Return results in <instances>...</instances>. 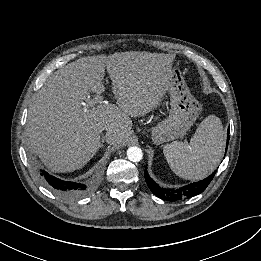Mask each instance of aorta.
Wrapping results in <instances>:
<instances>
[{"instance_id": "obj_1", "label": "aorta", "mask_w": 261, "mask_h": 261, "mask_svg": "<svg viewBox=\"0 0 261 261\" xmlns=\"http://www.w3.org/2000/svg\"><path fill=\"white\" fill-rule=\"evenodd\" d=\"M127 157L131 162H139L143 157L142 150L139 147H129L127 150Z\"/></svg>"}]
</instances>
